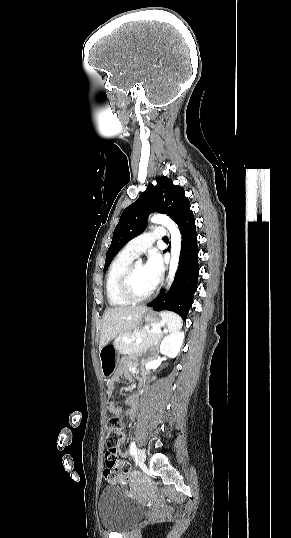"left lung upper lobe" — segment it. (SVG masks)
<instances>
[{
	"label": "left lung upper lobe",
	"mask_w": 291,
	"mask_h": 538,
	"mask_svg": "<svg viewBox=\"0 0 291 538\" xmlns=\"http://www.w3.org/2000/svg\"><path fill=\"white\" fill-rule=\"evenodd\" d=\"M156 181V186L149 184L138 200L123 211L106 253L104 272L116 253L128 241L145 230L146 220L150 213L157 211L167 214L178 223L191 211L189 199L185 197L182 187L175 186L167 176L158 177Z\"/></svg>",
	"instance_id": "1"
}]
</instances>
